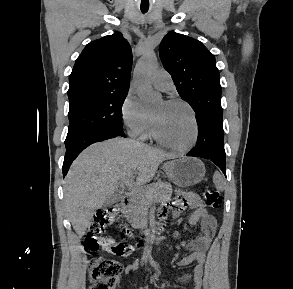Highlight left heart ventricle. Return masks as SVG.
<instances>
[{"label":"left heart ventricle","mask_w":293,"mask_h":289,"mask_svg":"<svg viewBox=\"0 0 293 289\" xmlns=\"http://www.w3.org/2000/svg\"><path fill=\"white\" fill-rule=\"evenodd\" d=\"M160 136L176 146L187 145L193 137L189 110L180 104L160 103L152 112Z\"/></svg>","instance_id":"left-heart-ventricle-1"}]
</instances>
